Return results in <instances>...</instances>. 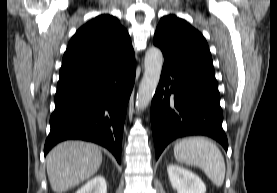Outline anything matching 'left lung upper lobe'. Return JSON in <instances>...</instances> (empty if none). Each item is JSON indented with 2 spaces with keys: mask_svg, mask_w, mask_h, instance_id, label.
Returning a JSON list of instances; mask_svg holds the SVG:
<instances>
[{
  "mask_svg": "<svg viewBox=\"0 0 277 193\" xmlns=\"http://www.w3.org/2000/svg\"><path fill=\"white\" fill-rule=\"evenodd\" d=\"M153 43L162 50L166 61L214 70L203 35L175 15H167L160 20Z\"/></svg>",
  "mask_w": 277,
  "mask_h": 193,
  "instance_id": "obj_1",
  "label": "left lung upper lobe"
}]
</instances>
